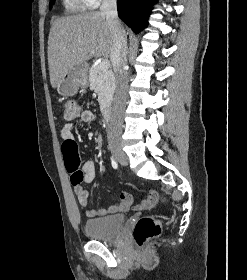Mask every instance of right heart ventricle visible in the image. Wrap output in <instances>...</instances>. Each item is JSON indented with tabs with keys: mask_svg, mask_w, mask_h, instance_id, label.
<instances>
[{
	"mask_svg": "<svg viewBox=\"0 0 247 280\" xmlns=\"http://www.w3.org/2000/svg\"><path fill=\"white\" fill-rule=\"evenodd\" d=\"M64 6L68 12L74 13L85 10L87 5L84 0H64Z\"/></svg>",
	"mask_w": 247,
	"mask_h": 280,
	"instance_id": "obj_1",
	"label": "right heart ventricle"
}]
</instances>
